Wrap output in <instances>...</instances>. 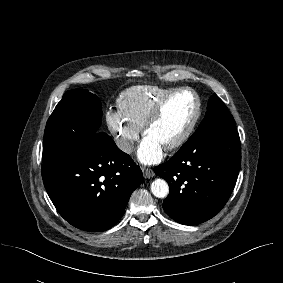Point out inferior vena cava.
Here are the masks:
<instances>
[{
    "mask_svg": "<svg viewBox=\"0 0 283 283\" xmlns=\"http://www.w3.org/2000/svg\"><path fill=\"white\" fill-rule=\"evenodd\" d=\"M117 146L126 153H131L134 150L133 142L127 139H119L116 142Z\"/></svg>",
    "mask_w": 283,
    "mask_h": 283,
    "instance_id": "obj_1",
    "label": "inferior vena cava"
}]
</instances>
